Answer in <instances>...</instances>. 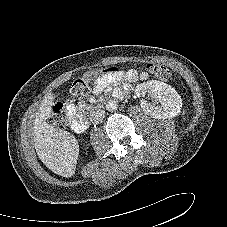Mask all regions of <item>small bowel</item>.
Instances as JSON below:
<instances>
[{"mask_svg":"<svg viewBox=\"0 0 227 227\" xmlns=\"http://www.w3.org/2000/svg\"><path fill=\"white\" fill-rule=\"evenodd\" d=\"M146 73H138L135 70H130L126 74L111 75L104 78H100L93 82V88L95 90L102 89L108 82L116 80H135V79H146Z\"/></svg>","mask_w":227,"mask_h":227,"instance_id":"c3829d8e","label":"small bowel"}]
</instances>
